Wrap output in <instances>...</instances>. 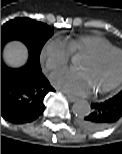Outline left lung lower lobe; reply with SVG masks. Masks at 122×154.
<instances>
[{
    "mask_svg": "<svg viewBox=\"0 0 122 154\" xmlns=\"http://www.w3.org/2000/svg\"><path fill=\"white\" fill-rule=\"evenodd\" d=\"M122 117V95L100 103L91 104L90 113L79 119V124L90 131L109 128Z\"/></svg>",
    "mask_w": 122,
    "mask_h": 154,
    "instance_id": "left-lung-lower-lobe-1",
    "label": "left lung lower lobe"
}]
</instances>
